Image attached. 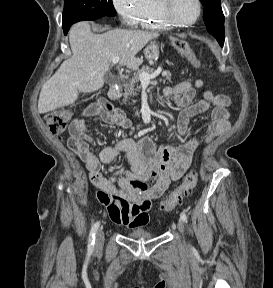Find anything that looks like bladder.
Instances as JSON below:
<instances>
[{"label":"bladder","mask_w":273,"mask_h":288,"mask_svg":"<svg viewBox=\"0 0 273 288\" xmlns=\"http://www.w3.org/2000/svg\"><path fill=\"white\" fill-rule=\"evenodd\" d=\"M127 236L133 239H149L153 234L144 229H135L127 233Z\"/></svg>","instance_id":"bladder-1"}]
</instances>
